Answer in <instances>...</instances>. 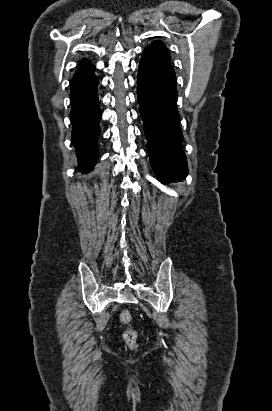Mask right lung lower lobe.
Segmentation results:
<instances>
[{
	"label": "right lung lower lobe",
	"mask_w": 272,
	"mask_h": 411,
	"mask_svg": "<svg viewBox=\"0 0 272 411\" xmlns=\"http://www.w3.org/2000/svg\"><path fill=\"white\" fill-rule=\"evenodd\" d=\"M97 87L98 79L95 77L85 86L71 90L70 93L72 139L79 168L84 172L93 168L99 156L97 141L100 134L101 110Z\"/></svg>",
	"instance_id": "98d812e1"
}]
</instances>
